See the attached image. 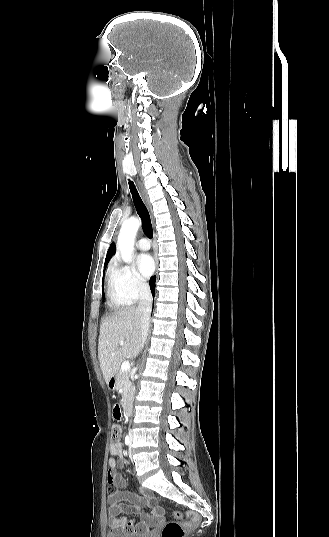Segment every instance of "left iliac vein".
<instances>
[{"mask_svg":"<svg viewBox=\"0 0 329 537\" xmlns=\"http://www.w3.org/2000/svg\"><path fill=\"white\" fill-rule=\"evenodd\" d=\"M130 438H131V442H132L133 436L131 435V437H130Z\"/></svg>","mask_w":329,"mask_h":537,"instance_id":"left-iliac-vein-1","label":"left iliac vein"}]
</instances>
